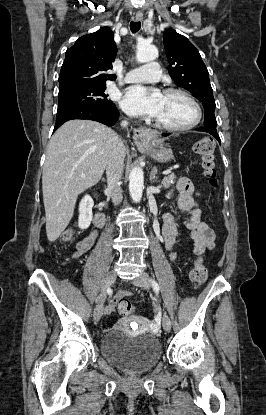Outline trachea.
I'll return each mask as SVG.
<instances>
[{
  "label": "trachea",
  "mask_w": 266,
  "mask_h": 415,
  "mask_svg": "<svg viewBox=\"0 0 266 415\" xmlns=\"http://www.w3.org/2000/svg\"><path fill=\"white\" fill-rule=\"evenodd\" d=\"M141 28V23L138 21V22H131L130 23V30L133 32V33H136V32H138L139 31V29Z\"/></svg>",
  "instance_id": "trachea-1"
}]
</instances>
